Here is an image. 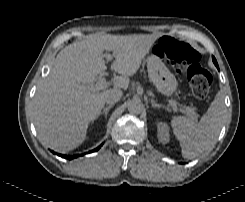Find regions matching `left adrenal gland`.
<instances>
[{"label":"left adrenal gland","instance_id":"a2214340","mask_svg":"<svg viewBox=\"0 0 245 202\" xmlns=\"http://www.w3.org/2000/svg\"><path fill=\"white\" fill-rule=\"evenodd\" d=\"M152 108H165L163 105L157 104L153 99L151 100Z\"/></svg>","mask_w":245,"mask_h":202}]
</instances>
